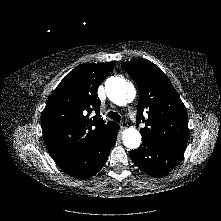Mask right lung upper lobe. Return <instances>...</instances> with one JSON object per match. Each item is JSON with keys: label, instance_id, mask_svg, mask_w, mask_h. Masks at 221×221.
I'll list each match as a JSON object with an SVG mask.
<instances>
[{"label": "right lung upper lobe", "instance_id": "cb5924a9", "mask_svg": "<svg viewBox=\"0 0 221 221\" xmlns=\"http://www.w3.org/2000/svg\"><path fill=\"white\" fill-rule=\"evenodd\" d=\"M114 62L80 64L68 73L48 99L41 125L45 144L60 166L71 162L117 126L100 116L97 89ZM95 112V116L90 114Z\"/></svg>", "mask_w": 221, "mask_h": 221}]
</instances>
